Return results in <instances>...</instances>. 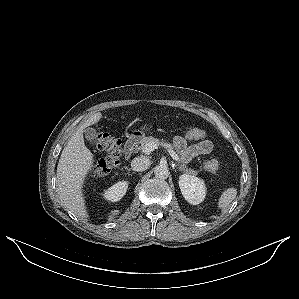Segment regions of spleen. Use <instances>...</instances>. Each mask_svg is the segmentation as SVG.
<instances>
[{
    "label": "spleen",
    "instance_id": "obj_1",
    "mask_svg": "<svg viewBox=\"0 0 299 299\" xmlns=\"http://www.w3.org/2000/svg\"><path fill=\"white\" fill-rule=\"evenodd\" d=\"M237 189L236 188H228L224 190L218 200V208L223 212L228 210L233 200L236 198Z\"/></svg>",
    "mask_w": 299,
    "mask_h": 299
}]
</instances>
